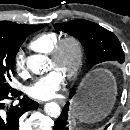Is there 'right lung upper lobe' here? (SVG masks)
Returning <instances> with one entry per match:
<instances>
[{
    "label": "right lung upper lobe",
    "instance_id": "right-lung-upper-lobe-1",
    "mask_svg": "<svg viewBox=\"0 0 130 130\" xmlns=\"http://www.w3.org/2000/svg\"><path fill=\"white\" fill-rule=\"evenodd\" d=\"M29 25L17 24L9 21H0V35L6 36H18L20 35Z\"/></svg>",
    "mask_w": 130,
    "mask_h": 130
}]
</instances>
